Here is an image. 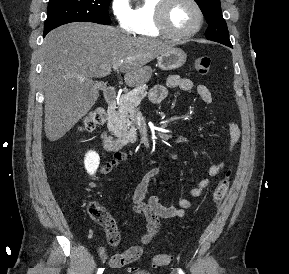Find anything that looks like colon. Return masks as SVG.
Returning a JSON list of instances; mask_svg holds the SVG:
<instances>
[{"label": "colon", "mask_w": 289, "mask_h": 274, "mask_svg": "<svg viewBox=\"0 0 289 274\" xmlns=\"http://www.w3.org/2000/svg\"><path fill=\"white\" fill-rule=\"evenodd\" d=\"M212 60L209 56H200L194 60L195 70L201 74L206 75L211 68ZM105 120V111L102 108H95L83 120L82 130L85 132L93 131L98 125L102 124ZM231 171L228 170L224 177L217 184L213 192V202L215 206H219L227 195L230 186ZM88 213L90 217L100 224L106 233L111 237H115L117 232L116 225L109 213L100 206L97 202L92 201L88 205ZM169 261L168 255H158L153 259V265H164ZM130 272H137V274H146L139 271L136 266L128 268Z\"/></svg>", "instance_id": "5ec220e1"}]
</instances>
